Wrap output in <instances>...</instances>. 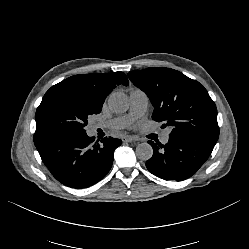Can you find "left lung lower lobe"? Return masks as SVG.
<instances>
[{"instance_id":"obj_1","label":"left lung lower lobe","mask_w":249,"mask_h":249,"mask_svg":"<svg viewBox=\"0 0 249 249\" xmlns=\"http://www.w3.org/2000/svg\"><path fill=\"white\" fill-rule=\"evenodd\" d=\"M216 142L183 133L169 134V141L165 145L148 141L153 148V156L146 161V167L164 180H185L205 163Z\"/></svg>"}]
</instances>
